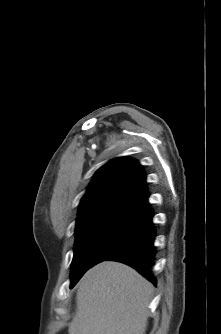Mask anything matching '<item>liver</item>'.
I'll return each instance as SVG.
<instances>
[{
    "label": "liver",
    "mask_w": 221,
    "mask_h": 334,
    "mask_svg": "<svg viewBox=\"0 0 221 334\" xmlns=\"http://www.w3.org/2000/svg\"><path fill=\"white\" fill-rule=\"evenodd\" d=\"M153 286L133 268L104 261L78 283L69 334H145Z\"/></svg>",
    "instance_id": "1"
}]
</instances>
